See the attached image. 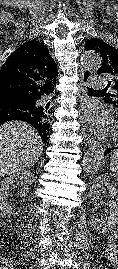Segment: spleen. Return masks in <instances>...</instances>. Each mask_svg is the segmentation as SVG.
Instances as JSON below:
<instances>
[{"mask_svg": "<svg viewBox=\"0 0 118 269\" xmlns=\"http://www.w3.org/2000/svg\"><path fill=\"white\" fill-rule=\"evenodd\" d=\"M110 170L113 176L118 178V150L115 151L110 158Z\"/></svg>", "mask_w": 118, "mask_h": 269, "instance_id": "3e777b00", "label": "spleen"}]
</instances>
